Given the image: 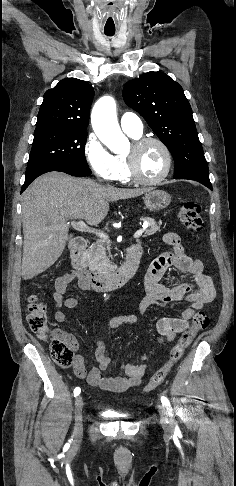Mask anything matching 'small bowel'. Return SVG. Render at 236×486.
I'll return each mask as SVG.
<instances>
[{"mask_svg": "<svg viewBox=\"0 0 236 486\" xmlns=\"http://www.w3.org/2000/svg\"><path fill=\"white\" fill-rule=\"evenodd\" d=\"M163 242L173 247V250L157 257L151 264L145 277V297L139 303V314H126L111 318L105 328H117L123 324H137L141 317L146 316L152 306L167 307L170 303L186 301L190 306L182 311L179 317L161 318L156 325L157 339L147 354L141 356L142 363L127 364L122 368V374L109 377L104 371L110 366V358L105 352L103 342L96 340L94 365L87 373L84 358L77 354L74 360L73 370L78 378H86L87 382L96 388L111 392H124L129 388L140 385L148 365L146 361L155 353L158 345L163 341H173L177 334L189 328L190 320L204 306L216 297V289L212 279L204 273V265L201 260L193 259L186 254L180 236L174 232H168L163 236ZM175 268L184 273V276L172 286L160 284V279L165 272ZM77 281L79 288L88 290L85 280L75 271L71 270L55 281L53 299L55 302L54 318L57 322L66 321L64 309L75 308L78 305L76 298H65L68 286ZM65 341L78 349L77 339L70 333L57 329Z\"/></svg>", "mask_w": 236, "mask_h": 486, "instance_id": "1", "label": "small bowel"}]
</instances>
